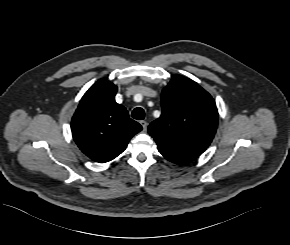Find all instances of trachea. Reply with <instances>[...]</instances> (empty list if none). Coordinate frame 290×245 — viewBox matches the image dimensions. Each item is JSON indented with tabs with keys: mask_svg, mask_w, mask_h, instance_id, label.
Listing matches in <instances>:
<instances>
[{
	"mask_svg": "<svg viewBox=\"0 0 290 245\" xmlns=\"http://www.w3.org/2000/svg\"><path fill=\"white\" fill-rule=\"evenodd\" d=\"M145 117V112L142 108L137 107L132 112V118L136 120H143Z\"/></svg>",
	"mask_w": 290,
	"mask_h": 245,
	"instance_id": "3493384b",
	"label": "trachea"
}]
</instances>
